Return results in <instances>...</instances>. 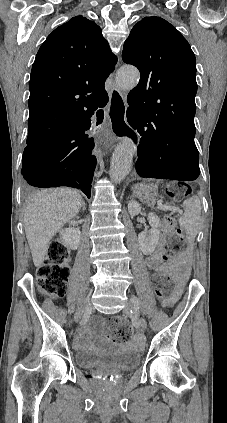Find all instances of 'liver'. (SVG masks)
Wrapping results in <instances>:
<instances>
[{"label": "liver", "mask_w": 227, "mask_h": 423, "mask_svg": "<svg viewBox=\"0 0 227 423\" xmlns=\"http://www.w3.org/2000/svg\"><path fill=\"white\" fill-rule=\"evenodd\" d=\"M81 202L80 194L70 188L30 194L24 208V229L35 267H41L53 235L76 217Z\"/></svg>", "instance_id": "liver-1"}]
</instances>
